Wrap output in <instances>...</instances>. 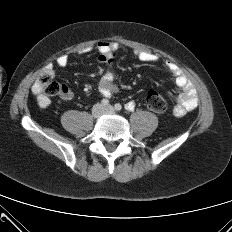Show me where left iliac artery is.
I'll list each match as a JSON object with an SVG mask.
<instances>
[{"instance_id": "left-iliac-artery-1", "label": "left iliac artery", "mask_w": 232, "mask_h": 232, "mask_svg": "<svg viewBox=\"0 0 232 232\" xmlns=\"http://www.w3.org/2000/svg\"><path fill=\"white\" fill-rule=\"evenodd\" d=\"M134 107H135L134 105L129 104L128 106H126V109L129 110V111H133V110H134ZM115 109H116L117 111H120V110L122 109L121 104L116 103V104H115Z\"/></svg>"}]
</instances>
